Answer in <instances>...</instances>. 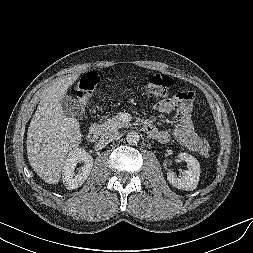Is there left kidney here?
<instances>
[{
    "label": "left kidney",
    "mask_w": 253,
    "mask_h": 253,
    "mask_svg": "<svg viewBox=\"0 0 253 253\" xmlns=\"http://www.w3.org/2000/svg\"><path fill=\"white\" fill-rule=\"evenodd\" d=\"M178 158L187 163L188 169L182 173L181 177H177L173 171H168L167 180L178 189L192 191L199 182L200 164L196 158L185 152L179 153Z\"/></svg>",
    "instance_id": "1"
}]
</instances>
